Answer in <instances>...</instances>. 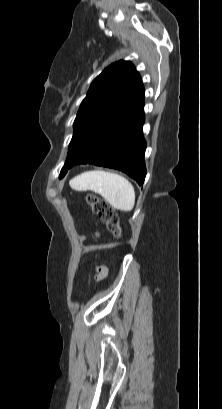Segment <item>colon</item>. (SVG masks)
<instances>
[{
    "instance_id": "1",
    "label": "colon",
    "mask_w": 222,
    "mask_h": 409,
    "mask_svg": "<svg viewBox=\"0 0 222 409\" xmlns=\"http://www.w3.org/2000/svg\"><path fill=\"white\" fill-rule=\"evenodd\" d=\"M87 203L92 208L98 219L105 223L108 230L114 237H120L122 233L119 217L116 211L102 198L90 194L87 196Z\"/></svg>"
}]
</instances>
